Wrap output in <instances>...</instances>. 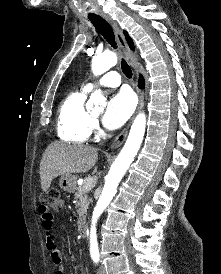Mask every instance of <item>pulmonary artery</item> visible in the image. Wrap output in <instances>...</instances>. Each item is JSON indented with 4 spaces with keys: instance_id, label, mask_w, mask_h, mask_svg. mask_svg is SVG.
Returning <instances> with one entry per match:
<instances>
[{
    "instance_id": "1",
    "label": "pulmonary artery",
    "mask_w": 221,
    "mask_h": 274,
    "mask_svg": "<svg viewBox=\"0 0 221 274\" xmlns=\"http://www.w3.org/2000/svg\"><path fill=\"white\" fill-rule=\"evenodd\" d=\"M121 79L119 74L116 71H110L103 75L101 79L96 83H87L84 86V91L90 92L92 91L96 86H102V87H110V88H116L120 85Z\"/></svg>"
}]
</instances>
